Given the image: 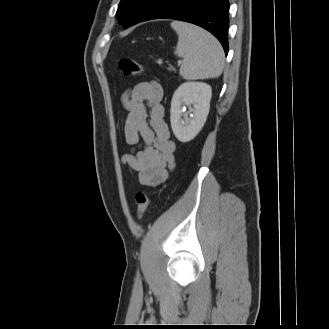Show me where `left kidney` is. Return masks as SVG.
<instances>
[{
  "label": "left kidney",
  "instance_id": "5707ae66",
  "mask_svg": "<svg viewBox=\"0 0 329 329\" xmlns=\"http://www.w3.org/2000/svg\"><path fill=\"white\" fill-rule=\"evenodd\" d=\"M211 96L210 85L203 82H185L175 91L171 101L170 121L172 131L180 142L191 141L202 129L209 113ZM184 105H193V108L184 113Z\"/></svg>",
  "mask_w": 329,
  "mask_h": 329
}]
</instances>
